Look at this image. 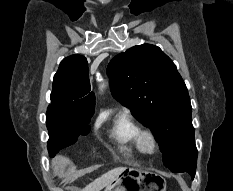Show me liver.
I'll return each instance as SVG.
<instances>
[{
  "label": "liver",
  "mask_w": 233,
  "mask_h": 191,
  "mask_svg": "<svg viewBox=\"0 0 233 191\" xmlns=\"http://www.w3.org/2000/svg\"><path fill=\"white\" fill-rule=\"evenodd\" d=\"M56 162L57 160L53 161L54 164ZM125 169V167L114 168L95 179L81 191H101L104 187L111 185Z\"/></svg>",
  "instance_id": "6515ba94"
}]
</instances>
